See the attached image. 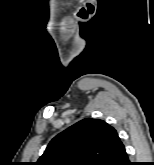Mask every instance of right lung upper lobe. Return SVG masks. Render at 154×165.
<instances>
[{"label": "right lung upper lobe", "instance_id": "1", "mask_svg": "<svg viewBox=\"0 0 154 165\" xmlns=\"http://www.w3.org/2000/svg\"><path fill=\"white\" fill-rule=\"evenodd\" d=\"M119 143L113 127L86 118L54 137L35 165H107Z\"/></svg>", "mask_w": 154, "mask_h": 165}]
</instances>
